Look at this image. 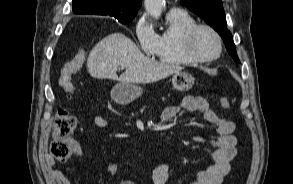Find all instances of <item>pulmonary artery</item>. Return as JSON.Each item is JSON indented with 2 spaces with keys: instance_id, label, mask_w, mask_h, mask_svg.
<instances>
[{
  "instance_id": "1",
  "label": "pulmonary artery",
  "mask_w": 293,
  "mask_h": 184,
  "mask_svg": "<svg viewBox=\"0 0 293 184\" xmlns=\"http://www.w3.org/2000/svg\"><path fill=\"white\" fill-rule=\"evenodd\" d=\"M181 11L179 8L173 7L171 8L170 12H178Z\"/></svg>"
}]
</instances>
